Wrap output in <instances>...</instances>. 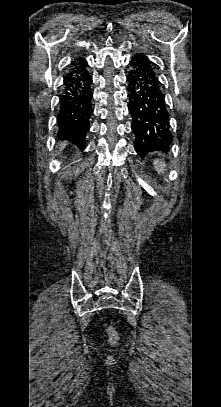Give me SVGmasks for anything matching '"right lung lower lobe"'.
<instances>
[{"instance_id":"obj_1","label":"right lung lower lobe","mask_w":221,"mask_h":407,"mask_svg":"<svg viewBox=\"0 0 221 407\" xmlns=\"http://www.w3.org/2000/svg\"><path fill=\"white\" fill-rule=\"evenodd\" d=\"M86 60L76 58L64 77L57 123L60 139L69 140L81 148L85 147V136L89 130L92 114V77Z\"/></svg>"}]
</instances>
